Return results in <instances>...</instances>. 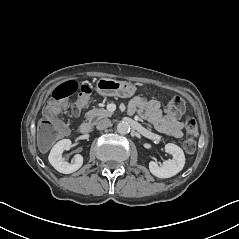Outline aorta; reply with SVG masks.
Instances as JSON below:
<instances>
[{
  "instance_id": "1",
  "label": "aorta",
  "mask_w": 239,
  "mask_h": 239,
  "mask_svg": "<svg viewBox=\"0 0 239 239\" xmlns=\"http://www.w3.org/2000/svg\"><path fill=\"white\" fill-rule=\"evenodd\" d=\"M130 130V126L125 122H120L117 125V132L120 134H127Z\"/></svg>"
}]
</instances>
